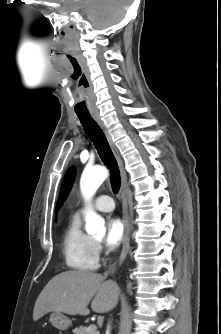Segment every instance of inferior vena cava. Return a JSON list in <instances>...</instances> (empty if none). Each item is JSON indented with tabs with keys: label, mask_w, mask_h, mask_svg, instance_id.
Wrapping results in <instances>:
<instances>
[{
	"label": "inferior vena cava",
	"mask_w": 221,
	"mask_h": 334,
	"mask_svg": "<svg viewBox=\"0 0 221 334\" xmlns=\"http://www.w3.org/2000/svg\"><path fill=\"white\" fill-rule=\"evenodd\" d=\"M111 270H112V267L109 269V271H106V272H105V275L107 276L108 273L111 272ZM113 270H114V269H113ZM107 327L110 328V323H108Z\"/></svg>",
	"instance_id": "inferior-vena-cava-1"
}]
</instances>
